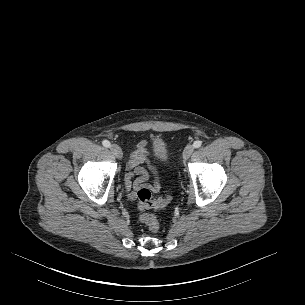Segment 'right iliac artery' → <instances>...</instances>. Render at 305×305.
I'll use <instances>...</instances> for the list:
<instances>
[{"instance_id":"82829eb1","label":"right iliac artery","mask_w":305,"mask_h":305,"mask_svg":"<svg viewBox=\"0 0 305 305\" xmlns=\"http://www.w3.org/2000/svg\"><path fill=\"white\" fill-rule=\"evenodd\" d=\"M102 144L106 148L110 147V142L108 140H103Z\"/></svg>"}]
</instances>
